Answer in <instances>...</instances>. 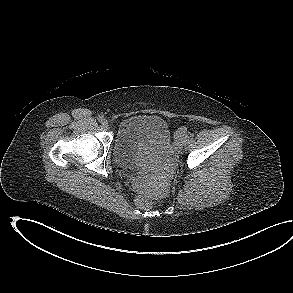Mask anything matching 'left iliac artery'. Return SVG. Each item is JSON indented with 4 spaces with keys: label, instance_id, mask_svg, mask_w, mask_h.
<instances>
[{
    "label": "left iliac artery",
    "instance_id": "1",
    "mask_svg": "<svg viewBox=\"0 0 293 293\" xmlns=\"http://www.w3.org/2000/svg\"><path fill=\"white\" fill-rule=\"evenodd\" d=\"M194 137V134H190V138H193Z\"/></svg>",
    "mask_w": 293,
    "mask_h": 293
}]
</instances>
